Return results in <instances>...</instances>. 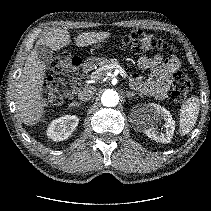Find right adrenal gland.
I'll return each mask as SVG.
<instances>
[{
  "mask_svg": "<svg viewBox=\"0 0 211 211\" xmlns=\"http://www.w3.org/2000/svg\"><path fill=\"white\" fill-rule=\"evenodd\" d=\"M82 105V102H76V101H73L69 107H80Z\"/></svg>",
  "mask_w": 211,
  "mask_h": 211,
  "instance_id": "2a0ac1e0",
  "label": "right adrenal gland"
}]
</instances>
